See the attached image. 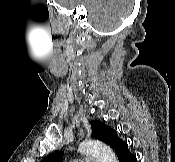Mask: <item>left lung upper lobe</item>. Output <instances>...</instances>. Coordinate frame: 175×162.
<instances>
[{
	"instance_id": "5c2ea615",
	"label": "left lung upper lobe",
	"mask_w": 175,
	"mask_h": 162,
	"mask_svg": "<svg viewBox=\"0 0 175 162\" xmlns=\"http://www.w3.org/2000/svg\"><path fill=\"white\" fill-rule=\"evenodd\" d=\"M92 127V137L98 139L113 148L119 139L116 131L101 121L93 120L90 122ZM64 151H57L47 155L41 162H60Z\"/></svg>"
}]
</instances>
